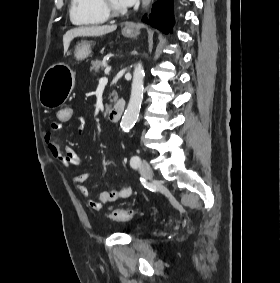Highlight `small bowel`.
Returning <instances> with one entry per match:
<instances>
[{
	"label": "small bowel",
	"mask_w": 280,
	"mask_h": 283,
	"mask_svg": "<svg viewBox=\"0 0 280 283\" xmlns=\"http://www.w3.org/2000/svg\"><path fill=\"white\" fill-rule=\"evenodd\" d=\"M73 111V110H72ZM73 117V116H72ZM76 124L78 130L83 131L86 128V120L83 116L76 117ZM64 122L54 121L50 125V129L46 135V141L48 150L51 155L58 160L65 167H73L80 164L81 160L77 152L71 147H62L60 142L56 139V135L61 132V124ZM90 177V173H81L73 177V182L77 190L86 199L87 206L95 211L102 209L103 205L114 202L118 199L128 198L132 194V188L129 186L119 189H111L103 191L98 199H92L90 197L88 189L84 186V182Z\"/></svg>",
	"instance_id": "obj_1"
}]
</instances>
